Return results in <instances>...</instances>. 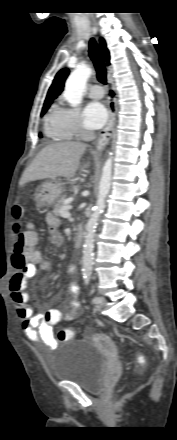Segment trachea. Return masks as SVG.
Listing matches in <instances>:
<instances>
[{"label":"trachea","instance_id":"1","mask_svg":"<svg viewBox=\"0 0 177 440\" xmlns=\"http://www.w3.org/2000/svg\"><path fill=\"white\" fill-rule=\"evenodd\" d=\"M89 56L95 66L98 80L106 84V69L98 44L94 39L89 42Z\"/></svg>","mask_w":177,"mask_h":440}]
</instances>
